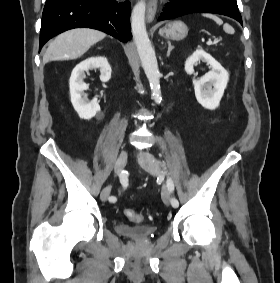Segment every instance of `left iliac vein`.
Instances as JSON below:
<instances>
[{"label": "left iliac vein", "instance_id": "4c4485c4", "mask_svg": "<svg viewBox=\"0 0 280 283\" xmlns=\"http://www.w3.org/2000/svg\"><path fill=\"white\" fill-rule=\"evenodd\" d=\"M139 162L143 169H145L149 174L158 176L161 174V169L156 158L149 152H141L138 154ZM163 202L168 206L170 205V196L167 188L162 187L161 192Z\"/></svg>", "mask_w": 280, "mask_h": 283}]
</instances>
